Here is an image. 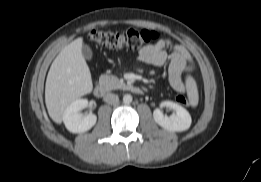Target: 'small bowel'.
Wrapping results in <instances>:
<instances>
[{
	"mask_svg": "<svg viewBox=\"0 0 261 182\" xmlns=\"http://www.w3.org/2000/svg\"><path fill=\"white\" fill-rule=\"evenodd\" d=\"M138 59L148 65L162 66L168 64L169 82L172 88L186 92L184 78L193 71V61L188 51L180 44L165 38L147 45L138 52Z\"/></svg>",
	"mask_w": 261,
	"mask_h": 182,
	"instance_id": "1",
	"label": "small bowel"
}]
</instances>
